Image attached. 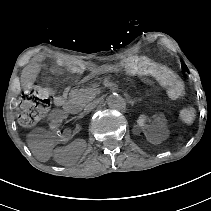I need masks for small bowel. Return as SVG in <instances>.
I'll return each instance as SVG.
<instances>
[{
    "label": "small bowel",
    "instance_id": "1",
    "mask_svg": "<svg viewBox=\"0 0 211 211\" xmlns=\"http://www.w3.org/2000/svg\"><path fill=\"white\" fill-rule=\"evenodd\" d=\"M44 62V57L42 55H39L36 57L34 62L30 64L23 73V82L26 86H31L34 80V77L36 73L39 71L41 66L43 65ZM89 69V74L84 78V80H87L91 77H94L96 75L102 74V73H107V72H119L121 69L116 68L114 66L110 65H103V66H90L88 67ZM51 94H52V100L55 105L57 106H63L64 103L66 102L67 98V93L68 90L65 89L62 91L61 94L56 95L53 90L47 89ZM154 124L157 126L163 125L164 124V118L161 115H157L154 118Z\"/></svg>",
    "mask_w": 211,
    "mask_h": 211
}]
</instances>
